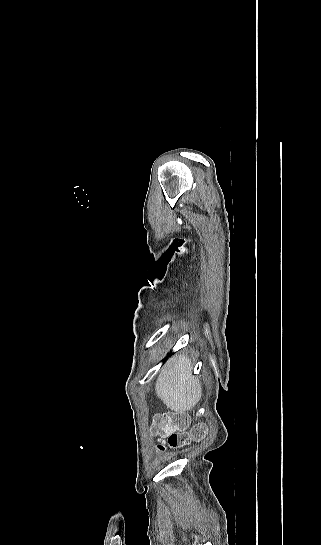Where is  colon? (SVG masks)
I'll return each mask as SVG.
<instances>
[{
  "instance_id": "obj_1",
  "label": "colon",
  "mask_w": 321,
  "mask_h": 545,
  "mask_svg": "<svg viewBox=\"0 0 321 545\" xmlns=\"http://www.w3.org/2000/svg\"><path fill=\"white\" fill-rule=\"evenodd\" d=\"M187 425L188 418L182 413L156 415L151 430L159 438V450L180 448L205 435V428L201 425L196 426L191 433L185 432Z\"/></svg>"
}]
</instances>
